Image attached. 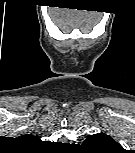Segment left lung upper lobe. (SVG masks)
I'll use <instances>...</instances> for the list:
<instances>
[{
    "instance_id": "obj_1",
    "label": "left lung upper lobe",
    "mask_w": 135,
    "mask_h": 153,
    "mask_svg": "<svg viewBox=\"0 0 135 153\" xmlns=\"http://www.w3.org/2000/svg\"><path fill=\"white\" fill-rule=\"evenodd\" d=\"M83 145L98 152H110L121 149V146L117 142H115L109 135L104 133L89 136L84 141Z\"/></svg>"
}]
</instances>
